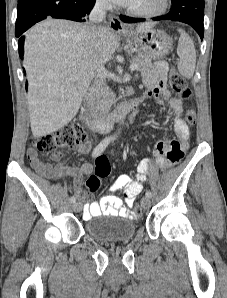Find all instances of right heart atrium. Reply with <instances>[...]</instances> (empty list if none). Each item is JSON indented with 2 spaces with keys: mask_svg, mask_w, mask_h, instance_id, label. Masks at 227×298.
<instances>
[{
  "mask_svg": "<svg viewBox=\"0 0 227 298\" xmlns=\"http://www.w3.org/2000/svg\"><path fill=\"white\" fill-rule=\"evenodd\" d=\"M98 5L106 7L108 5V0H97Z\"/></svg>",
  "mask_w": 227,
  "mask_h": 298,
  "instance_id": "d8ad5b80",
  "label": "right heart atrium"
}]
</instances>
